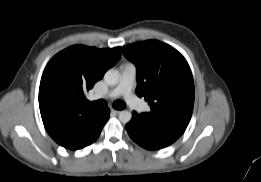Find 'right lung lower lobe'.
Listing matches in <instances>:
<instances>
[{
	"label": "right lung lower lobe",
	"instance_id": "1",
	"mask_svg": "<svg viewBox=\"0 0 261 182\" xmlns=\"http://www.w3.org/2000/svg\"><path fill=\"white\" fill-rule=\"evenodd\" d=\"M109 114V109L100 110L96 116L83 125L81 135L77 138V140L65 148L77 150L96 141L103 126L109 119Z\"/></svg>",
	"mask_w": 261,
	"mask_h": 182
}]
</instances>
